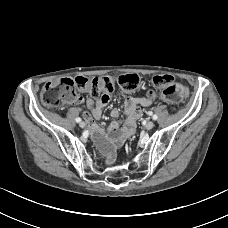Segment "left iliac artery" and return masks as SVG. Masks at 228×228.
Returning <instances> with one entry per match:
<instances>
[{
  "instance_id": "left-iliac-artery-1",
  "label": "left iliac artery",
  "mask_w": 228,
  "mask_h": 228,
  "mask_svg": "<svg viewBox=\"0 0 228 228\" xmlns=\"http://www.w3.org/2000/svg\"><path fill=\"white\" fill-rule=\"evenodd\" d=\"M152 118H153V120H157L158 116L157 115H153Z\"/></svg>"
}]
</instances>
